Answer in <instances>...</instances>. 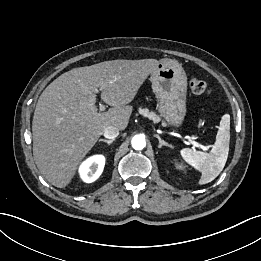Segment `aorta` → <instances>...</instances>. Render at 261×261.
Returning <instances> with one entry per match:
<instances>
[{
	"instance_id": "1",
	"label": "aorta",
	"mask_w": 261,
	"mask_h": 261,
	"mask_svg": "<svg viewBox=\"0 0 261 261\" xmlns=\"http://www.w3.org/2000/svg\"><path fill=\"white\" fill-rule=\"evenodd\" d=\"M132 147L135 150H142L146 147V140L143 135H135L131 141Z\"/></svg>"
}]
</instances>
